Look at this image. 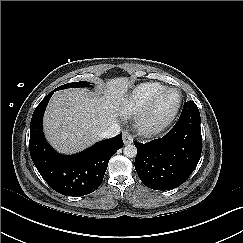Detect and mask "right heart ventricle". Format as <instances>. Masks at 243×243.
Segmentation results:
<instances>
[{"mask_svg":"<svg viewBox=\"0 0 243 243\" xmlns=\"http://www.w3.org/2000/svg\"><path fill=\"white\" fill-rule=\"evenodd\" d=\"M164 88L163 84L153 81L136 84L120 98L118 111L123 115L137 114Z\"/></svg>","mask_w":243,"mask_h":243,"instance_id":"obj_1","label":"right heart ventricle"}]
</instances>
